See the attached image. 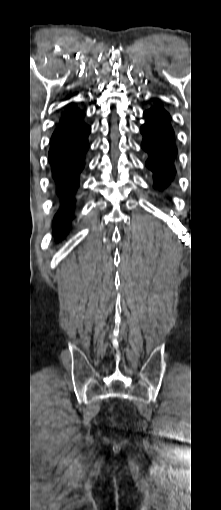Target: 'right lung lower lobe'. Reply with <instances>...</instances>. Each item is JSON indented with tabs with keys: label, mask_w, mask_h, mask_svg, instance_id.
<instances>
[{
	"label": "right lung lower lobe",
	"mask_w": 221,
	"mask_h": 510,
	"mask_svg": "<svg viewBox=\"0 0 221 510\" xmlns=\"http://www.w3.org/2000/svg\"><path fill=\"white\" fill-rule=\"evenodd\" d=\"M90 126L83 122L64 133H53L50 140L49 161L56 193L61 200L54 217V234L64 237L70 225L74 193L79 186V175L84 168L85 154L89 148Z\"/></svg>",
	"instance_id": "98d812e1"
}]
</instances>
